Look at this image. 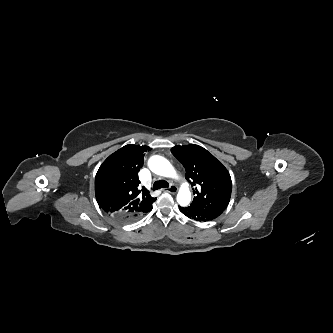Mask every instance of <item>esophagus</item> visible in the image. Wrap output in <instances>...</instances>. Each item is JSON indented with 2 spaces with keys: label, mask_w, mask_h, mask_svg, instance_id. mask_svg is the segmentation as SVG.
Segmentation results:
<instances>
[{
  "label": "esophagus",
  "mask_w": 333,
  "mask_h": 333,
  "mask_svg": "<svg viewBox=\"0 0 333 333\" xmlns=\"http://www.w3.org/2000/svg\"><path fill=\"white\" fill-rule=\"evenodd\" d=\"M165 191L174 194L178 191V187L175 185H171L169 188L165 189Z\"/></svg>",
  "instance_id": "34e87169"
}]
</instances>
